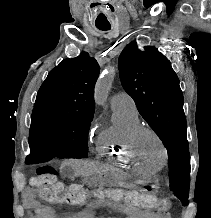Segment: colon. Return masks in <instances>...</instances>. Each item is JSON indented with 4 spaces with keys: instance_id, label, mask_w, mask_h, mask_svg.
Instances as JSON below:
<instances>
[{
    "instance_id": "5ec220e1",
    "label": "colon",
    "mask_w": 211,
    "mask_h": 218,
    "mask_svg": "<svg viewBox=\"0 0 211 218\" xmlns=\"http://www.w3.org/2000/svg\"><path fill=\"white\" fill-rule=\"evenodd\" d=\"M31 184L38 190L42 199L56 204H81L88 199H94L112 201L139 209H155L162 213L169 208L166 199L159 198L144 189L103 187L87 189L79 184L66 186L57 179L55 170L48 165L37 168Z\"/></svg>"
}]
</instances>
